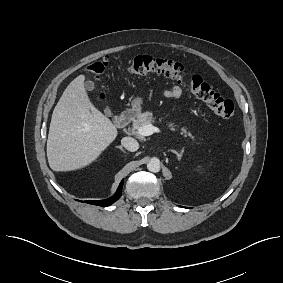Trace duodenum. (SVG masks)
Masks as SVG:
<instances>
[{"mask_svg": "<svg viewBox=\"0 0 283 283\" xmlns=\"http://www.w3.org/2000/svg\"><path fill=\"white\" fill-rule=\"evenodd\" d=\"M135 116L136 112L134 110H127L118 115L115 118L114 123L118 128H123L127 126Z\"/></svg>", "mask_w": 283, "mask_h": 283, "instance_id": "duodenum-1", "label": "duodenum"}]
</instances>
